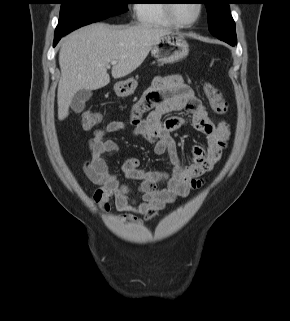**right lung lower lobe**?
I'll return each mask as SVG.
<instances>
[{"instance_id":"right-lung-lower-lobe-1","label":"right lung lower lobe","mask_w":290,"mask_h":321,"mask_svg":"<svg viewBox=\"0 0 290 321\" xmlns=\"http://www.w3.org/2000/svg\"><path fill=\"white\" fill-rule=\"evenodd\" d=\"M64 35H55V39H54V46L58 43V41L63 37Z\"/></svg>"}]
</instances>
